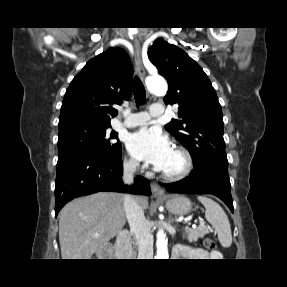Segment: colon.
Listing matches in <instances>:
<instances>
[{
    "label": "colon",
    "mask_w": 287,
    "mask_h": 287,
    "mask_svg": "<svg viewBox=\"0 0 287 287\" xmlns=\"http://www.w3.org/2000/svg\"><path fill=\"white\" fill-rule=\"evenodd\" d=\"M203 245L205 248H207L209 250H213L216 247L214 240L211 238H205L203 241Z\"/></svg>",
    "instance_id": "1"
}]
</instances>
